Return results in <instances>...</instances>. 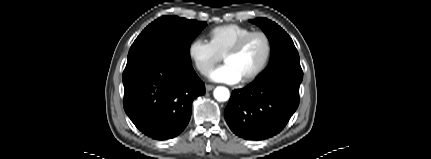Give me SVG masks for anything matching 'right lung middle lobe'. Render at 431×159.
I'll use <instances>...</instances> for the list:
<instances>
[{
  "instance_id": "right-lung-middle-lobe-1",
  "label": "right lung middle lobe",
  "mask_w": 431,
  "mask_h": 159,
  "mask_svg": "<svg viewBox=\"0 0 431 159\" xmlns=\"http://www.w3.org/2000/svg\"><path fill=\"white\" fill-rule=\"evenodd\" d=\"M205 26L206 22L162 16L136 38L129 50L127 62L157 52L191 65V42Z\"/></svg>"
}]
</instances>
